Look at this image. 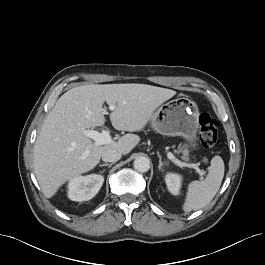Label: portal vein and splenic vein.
I'll return each mask as SVG.
<instances>
[{"mask_svg": "<svg viewBox=\"0 0 265 265\" xmlns=\"http://www.w3.org/2000/svg\"><path fill=\"white\" fill-rule=\"evenodd\" d=\"M110 110H114L115 106L111 105L109 106ZM81 132L86 136L89 137L91 139H93L95 142V145H105V144H110L112 143V138L110 136V132L109 130H102V132H98L95 130H87V129H82ZM88 154V151L85 152V155L83 156V158H85ZM168 159H170L174 164H176L177 166H179L180 168H184V167H190V168H194L199 175L201 176V179H203L205 172L201 169H199V167L196 164H189V163H184L182 161H180L179 159H177L171 152H169L167 154Z\"/></svg>", "mask_w": 265, "mask_h": 265, "instance_id": "obj_1", "label": "portal vein and splenic vein"}]
</instances>
